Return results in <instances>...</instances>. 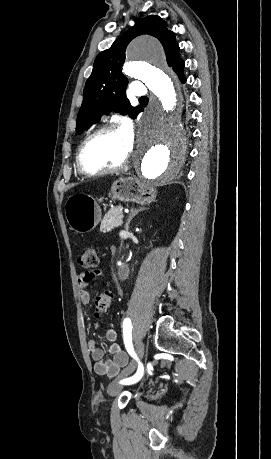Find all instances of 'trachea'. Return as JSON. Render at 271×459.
<instances>
[{"label": "trachea", "instance_id": "3493384b", "mask_svg": "<svg viewBox=\"0 0 271 459\" xmlns=\"http://www.w3.org/2000/svg\"><path fill=\"white\" fill-rule=\"evenodd\" d=\"M148 100V97H140V101Z\"/></svg>", "mask_w": 271, "mask_h": 459}]
</instances>
